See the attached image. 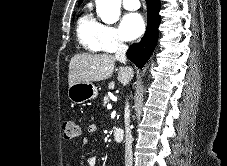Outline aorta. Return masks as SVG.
I'll list each match as a JSON object with an SVG mask.
<instances>
[{"mask_svg": "<svg viewBox=\"0 0 227 166\" xmlns=\"http://www.w3.org/2000/svg\"><path fill=\"white\" fill-rule=\"evenodd\" d=\"M96 11L106 24L115 23L120 16L121 0H95Z\"/></svg>", "mask_w": 227, "mask_h": 166, "instance_id": "obj_1", "label": "aorta"}]
</instances>
